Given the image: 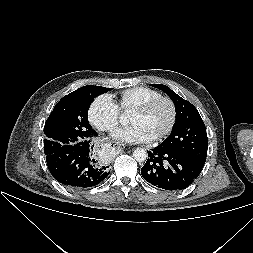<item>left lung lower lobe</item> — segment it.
I'll return each instance as SVG.
<instances>
[{
	"label": "left lung lower lobe",
	"instance_id": "1",
	"mask_svg": "<svg viewBox=\"0 0 253 253\" xmlns=\"http://www.w3.org/2000/svg\"><path fill=\"white\" fill-rule=\"evenodd\" d=\"M204 165L160 145L148 151L141 175L150 184L169 191L187 188L199 176Z\"/></svg>",
	"mask_w": 253,
	"mask_h": 253
}]
</instances>
